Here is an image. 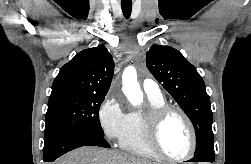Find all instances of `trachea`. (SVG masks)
I'll list each match as a JSON object with an SVG mask.
<instances>
[{
    "mask_svg": "<svg viewBox=\"0 0 251 164\" xmlns=\"http://www.w3.org/2000/svg\"><path fill=\"white\" fill-rule=\"evenodd\" d=\"M122 12L125 18H129L132 12V2H121Z\"/></svg>",
    "mask_w": 251,
    "mask_h": 164,
    "instance_id": "3493384b",
    "label": "trachea"
}]
</instances>
